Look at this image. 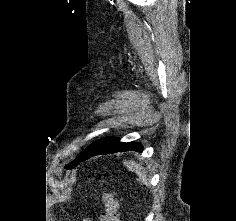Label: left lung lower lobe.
Listing matches in <instances>:
<instances>
[{"mask_svg": "<svg viewBox=\"0 0 236 221\" xmlns=\"http://www.w3.org/2000/svg\"><path fill=\"white\" fill-rule=\"evenodd\" d=\"M142 145L135 142L123 143L118 138L106 137L95 143L91 144L88 148L83 150L77 157L76 166L86 159L99 155V154H110L116 152H124L129 150L141 151Z\"/></svg>", "mask_w": 236, "mask_h": 221, "instance_id": "obj_1", "label": "left lung lower lobe"}]
</instances>
